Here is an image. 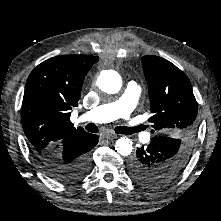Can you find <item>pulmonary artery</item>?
Segmentation results:
<instances>
[{"label": "pulmonary artery", "instance_id": "e3ab8cb5", "mask_svg": "<svg viewBox=\"0 0 221 221\" xmlns=\"http://www.w3.org/2000/svg\"><path fill=\"white\" fill-rule=\"evenodd\" d=\"M140 92V86L131 81L126 85L122 95L117 100L97 106L82 114L79 119L94 123L111 122L118 118L128 119L137 104Z\"/></svg>", "mask_w": 221, "mask_h": 221}]
</instances>
